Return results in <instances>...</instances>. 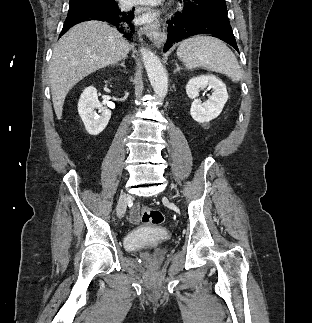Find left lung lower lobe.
<instances>
[{"mask_svg": "<svg viewBox=\"0 0 312 323\" xmlns=\"http://www.w3.org/2000/svg\"><path fill=\"white\" fill-rule=\"evenodd\" d=\"M167 31L164 52L175 42L199 34L217 37L239 52L227 17L225 0H194L191 4L184 3L183 9L168 20Z\"/></svg>", "mask_w": 312, "mask_h": 323, "instance_id": "0a47b994", "label": "left lung lower lobe"}]
</instances>
